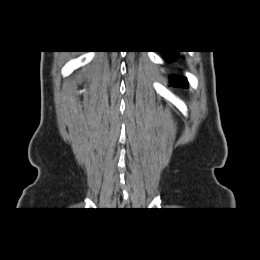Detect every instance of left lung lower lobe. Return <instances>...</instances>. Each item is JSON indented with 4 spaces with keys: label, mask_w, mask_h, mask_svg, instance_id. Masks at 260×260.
Segmentation results:
<instances>
[{
    "label": "left lung lower lobe",
    "mask_w": 260,
    "mask_h": 260,
    "mask_svg": "<svg viewBox=\"0 0 260 260\" xmlns=\"http://www.w3.org/2000/svg\"><path fill=\"white\" fill-rule=\"evenodd\" d=\"M161 53L163 54L165 59L168 61H172L177 58H180V55H179V53H177V51H161ZM170 81L173 86L187 87V80L185 77H181L178 75H171Z\"/></svg>",
    "instance_id": "0a47b994"
}]
</instances>
